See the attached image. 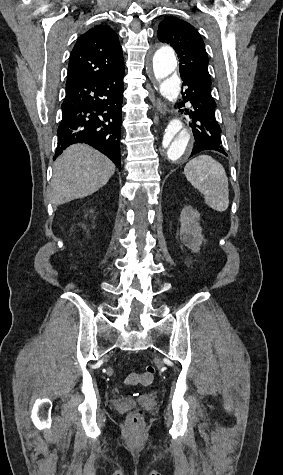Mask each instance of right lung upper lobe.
Listing matches in <instances>:
<instances>
[{"mask_svg":"<svg viewBox=\"0 0 283 475\" xmlns=\"http://www.w3.org/2000/svg\"><path fill=\"white\" fill-rule=\"evenodd\" d=\"M124 72L122 48L116 32L96 25L77 40L69 60L66 84L102 80Z\"/></svg>","mask_w":283,"mask_h":475,"instance_id":"right-lung-upper-lobe-1","label":"right lung upper lobe"}]
</instances>
